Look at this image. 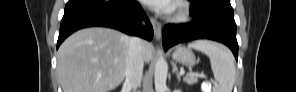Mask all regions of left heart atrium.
<instances>
[{
  "label": "left heart atrium",
  "mask_w": 296,
  "mask_h": 92,
  "mask_svg": "<svg viewBox=\"0 0 296 92\" xmlns=\"http://www.w3.org/2000/svg\"><path fill=\"white\" fill-rule=\"evenodd\" d=\"M146 3L161 12H171L173 10V3L171 1L148 0Z\"/></svg>",
  "instance_id": "obj_1"
}]
</instances>
